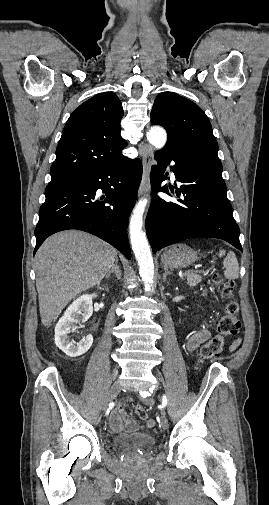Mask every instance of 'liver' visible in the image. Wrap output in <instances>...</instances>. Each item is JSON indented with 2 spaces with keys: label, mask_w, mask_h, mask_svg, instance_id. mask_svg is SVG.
Here are the masks:
<instances>
[{
  "label": "liver",
  "mask_w": 269,
  "mask_h": 505,
  "mask_svg": "<svg viewBox=\"0 0 269 505\" xmlns=\"http://www.w3.org/2000/svg\"><path fill=\"white\" fill-rule=\"evenodd\" d=\"M116 259L111 245L82 231H63L46 239L35 256L42 324L49 327L72 299L100 284Z\"/></svg>",
  "instance_id": "6515ba94"
}]
</instances>
